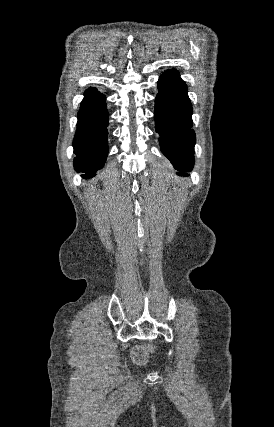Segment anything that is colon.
I'll use <instances>...</instances> for the list:
<instances>
[{"label":"colon","mask_w":274,"mask_h":427,"mask_svg":"<svg viewBox=\"0 0 274 427\" xmlns=\"http://www.w3.org/2000/svg\"><path fill=\"white\" fill-rule=\"evenodd\" d=\"M150 350L146 346H136L132 349L131 360L136 365H143L146 363Z\"/></svg>","instance_id":"5ec220e1"}]
</instances>
